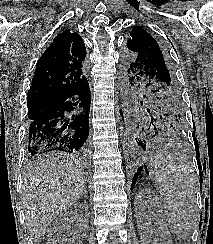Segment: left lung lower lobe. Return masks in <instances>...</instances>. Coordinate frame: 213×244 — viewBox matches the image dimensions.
<instances>
[{
	"label": "left lung lower lobe",
	"instance_id": "left-lung-lower-lobe-1",
	"mask_svg": "<svg viewBox=\"0 0 213 244\" xmlns=\"http://www.w3.org/2000/svg\"><path fill=\"white\" fill-rule=\"evenodd\" d=\"M121 116H124L127 148L132 153L138 154L146 151L157 143L159 138L165 136L153 120L144 118L131 107L126 106V110L121 113ZM135 177L138 178V176Z\"/></svg>",
	"mask_w": 213,
	"mask_h": 244
}]
</instances>
